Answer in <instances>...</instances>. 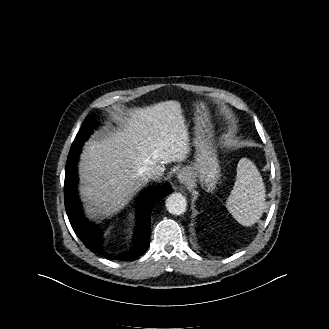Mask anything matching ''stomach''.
Returning <instances> with one entry per match:
<instances>
[{
	"label": "stomach",
	"instance_id": "stomach-1",
	"mask_svg": "<svg viewBox=\"0 0 329 329\" xmlns=\"http://www.w3.org/2000/svg\"><path fill=\"white\" fill-rule=\"evenodd\" d=\"M195 106V162L188 167L189 176L197 180L207 192L215 189L220 179V166L214 146V131L210 114L204 103Z\"/></svg>",
	"mask_w": 329,
	"mask_h": 329
}]
</instances>
